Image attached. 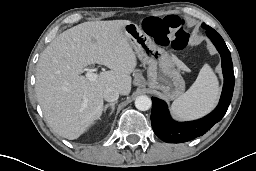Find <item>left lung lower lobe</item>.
<instances>
[{
    "instance_id": "1",
    "label": "left lung lower lobe",
    "mask_w": 256,
    "mask_h": 171,
    "mask_svg": "<svg viewBox=\"0 0 256 171\" xmlns=\"http://www.w3.org/2000/svg\"><path fill=\"white\" fill-rule=\"evenodd\" d=\"M202 27L207 30L208 37L221 55L224 75L222 95L218 106L209 115L199 120L182 123L176 122L170 117L164 101L152 97V128L155 134L167 143H182L205 134L223 118L232 99L235 77L230 52L219 33L205 23L202 24Z\"/></svg>"
}]
</instances>
